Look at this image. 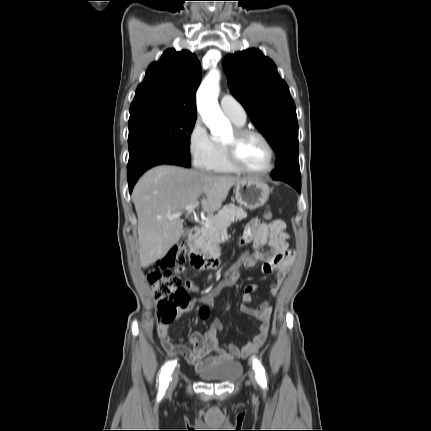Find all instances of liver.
<instances>
[{
    "mask_svg": "<svg viewBox=\"0 0 431 431\" xmlns=\"http://www.w3.org/2000/svg\"><path fill=\"white\" fill-rule=\"evenodd\" d=\"M245 178L212 175L177 166L161 165L147 171L134 187L132 198L138 216L139 259L148 267L163 258L184 230L179 218L167 216L198 203L217 211L231 187Z\"/></svg>",
    "mask_w": 431,
    "mask_h": 431,
    "instance_id": "liver-1",
    "label": "liver"
}]
</instances>
